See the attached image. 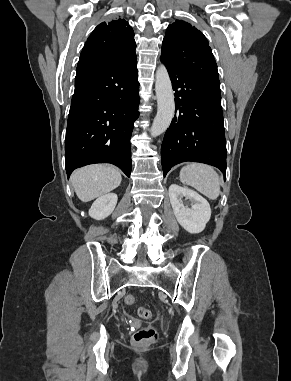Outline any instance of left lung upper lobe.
Segmentation results:
<instances>
[{
	"label": "left lung upper lobe",
	"instance_id": "left-lung-upper-lobe-1",
	"mask_svg": "<svg viewBox=\"0 0 291 381\" xmlns=\"http://www.w3.org/2000/svg\"><path fill=\"white\" fill-rule=\"evenodd\" d=\"M161 57L197 79L220 83L206 37L188 22L176 20L168 26Z\"/></svg>",
	"mask_w": 291,
	"mask_h": 381
}]
</instances>
